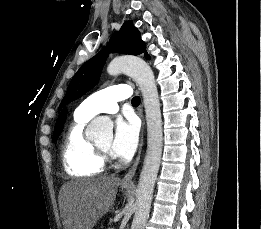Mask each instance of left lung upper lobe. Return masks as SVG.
Masks as SVG:
<instances>
[{"label":"left lung upper lobe","mask_w":261,"mask_h":229,"mask_svg":"<svg viewBox=\"0 0 261 229\" xmlns=\"http://www.w3.org/2000/svg\"><path fill=\"white\" fill-rule=\"evenodd\" d=\"M145 49L146 45L142 41L137 28L133 26L132 21L125 22L120 31L114 33L111 37L107 47L85 62L73 76L59 110L66 104L84 95L98 83L109 53L119 52L138 55L145 52ZM145 57L147 59L150 58L147 53H145Z\"/></svg>","instance_id":"5c2ea615"}]
</instances>
